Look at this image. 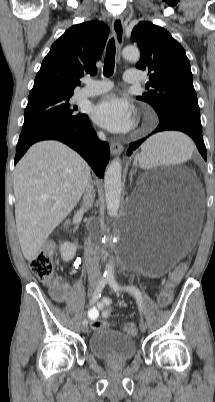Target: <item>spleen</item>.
<instances>
[{
	"instance_id": "1",
	"label": "spleen",
	"mask_w": 215,
	"mask_h": 402,
	"mask_svg": "<svg viewBox=\"0 0 215 402\" xmlns=\"http://www.w3.org/2000/svg\"><path fill=\"white\" fill-rule=\"evenodd\" d=\"M191 153V143L185 134L164 133L152 137L142 146L140 161L144 167L180 163Z\"/></svg>"
}]
</instances>
